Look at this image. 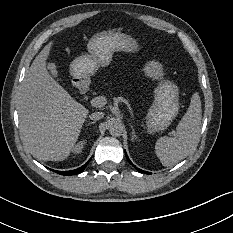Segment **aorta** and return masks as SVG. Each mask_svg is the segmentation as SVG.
<instances>
[{
	"instance_id": "obj_1",
	"label": "aorta",
	"mask_w": 233,
	"mask_h": 233,
	"mask_svg": "<svg viewBox=\"0 0 233 233\" xmlns=\"http://www.w3.org/2000/svg\"><path fill=\"white\" fill-rule=\"evenodd\" d=\"M122 126L119 123H113L110 127H109V132L112 136L114 137H118L121 136L122 134Z\"/></svg>"
}]
</instances>
